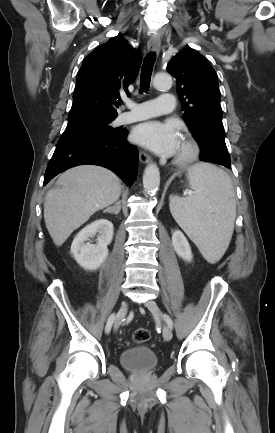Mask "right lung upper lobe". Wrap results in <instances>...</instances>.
<instances>
[{"label": "right lung upper lobe", "instance_id": "1", "mask_svg": "<svg viewBox=\"0 0 275 433\" xmlns=\"http://www.w3.org/2000/svg\"><path fill=\"white\" fill-rule=\"evenodd\" d=\"M141 64L139 50L120 37L98 46L83 61L76 77L68 118L85 115L117 116L116 99L128 92Z\"/></svg>", "mask_w": 275, "mask_h": 433}]
</instances>
